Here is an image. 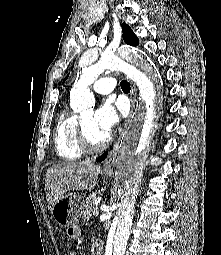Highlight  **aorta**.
Returning <instances> with one entry per match:
<instances>
[{"instance_id":"1","label":"aorta","mask_w":221,"mask_h":255,"mask_svg":"<svg viewBox=\"0 0 221 255\" xmlns=\"http://www.w3.org/2000/svg\"><path fill=\"white\" fill-rule=\"evenodd\" d=\"M126 62L137 67L129 68ZM82 74L70 92V106L83 115L93 113L95 98L89 86L94 83L106 69L129 68V74L137 83L141 102L137 127L141 135L137 140L133 134L125 137L115 164V185L120 197V207L108 234L107 254L124 255L130 236L135 202L139 192L143 165L149 152L154 126L160 106L159 83L157 82L151 62L133 48H123L118 53L105 52L100 56L87 54L81 60ZM147 126H143L146 118Z\"/></svg>"}]
</instances>
